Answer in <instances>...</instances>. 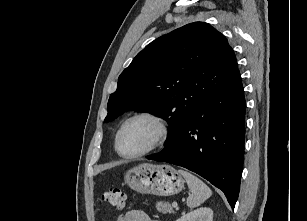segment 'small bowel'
<instances>
[{"label": "small bowel", "mask_w": 307, "mask_h": 221, "mask_svg": "<svg viewBox=\"0 0 307 221\" xmlns=\"http://www.w3.org/2000/svg\"><path fill=\"white\" fill-rule=\"evenodd\" d=\"M116 221H158L149 217L141 210H130L116 216Z\"/></svg>", "instance_id": "1"}]
</instances>
